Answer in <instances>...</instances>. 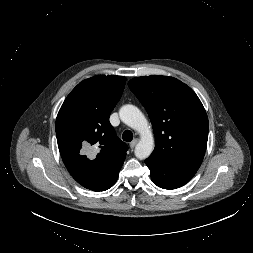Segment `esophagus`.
Listing matches in <instances>:
<instances>
[{
	"label": "esophagus",
	"mask_w": 253,
	"mask_h": 253,
	"mask_svg": "<svg viewBox=\"0 0 253 253\" xmlns=\"http://www.w3.org/2000/svg\"><path fill=\"white\" fill-rule=\"evenodd\" d=\"M138 143V139H134L131 143H130V148L133 149L136 144Z\"/></svg>",
	"instance_id": "1"
}]
</instances>
